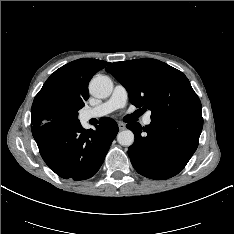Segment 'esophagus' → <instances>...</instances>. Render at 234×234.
<instances>
[{
    "instance_id": "esophagus-1",
    "label": "esophagus",
    "mask_w": 234,
    "mask_h": 234,
    "mask_svg": "<svg viewBox=\"0 0 234 234\" xmlns=\"http://www.w3.org/2000/svg\"><path fill=\"white\" fill-rule=\"evenodd\" d=\"M118 127H119L120 130H124L126 128V125L124 123H122V122H119Z\"/></svg>"
}]
</instances>
